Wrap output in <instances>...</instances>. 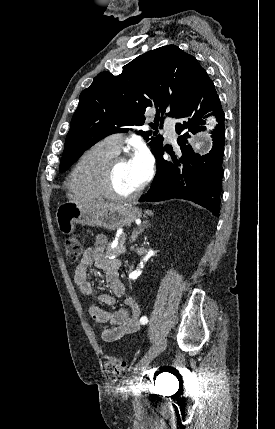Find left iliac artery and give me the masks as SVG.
<instances>
[{
    "instance_id": "obj_1",
    "label": "left iliac artery",
    "mask_w": 275,
    "mask_h": 429,
    "mask_svg": "<svg viewBox=\"0 0 275 429\" xmlns=\"http://www.w3.org/2000/svg\"><path fill=\"white\" fill-rule=\"evenodd\" d=\"M147 322H148V318H147L146 316H142V317L140 318V323H141L142 325L147 324Z\"/></svg>"
}]
</instances>
